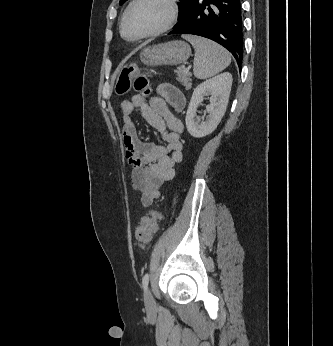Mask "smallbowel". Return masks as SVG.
<instances>
[{"mask_svg": "<svg viewBox=\"0 0 333 346\" xmlns=\"http://www.w3.org/2000/svg\"><path fill=\"white\" fill-rule=\"evenodd\" d=\"M168 104L181 112L186 100L177 87L162 83L157 87V94L148 102L142 95L135 94L120 105L124 146L132 167L131 182L134 190L140 194L143 207H149L159 198L160 188L165 181L173 178L175 165L182 159L183 124ZM136 111H140L143 118L161 134L165 146L141 139L133 119Z\"/></svg>", "mask_w": 333, "mask_h": 346, "instance_id": "obj_1", "label": "small bowel"}]
</instances>
